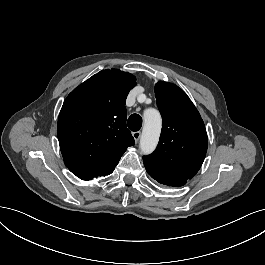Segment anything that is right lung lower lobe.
<instances>
[{"instance_id":"obj_1","label":"right lung lower lobe","mask_w":265,"mask_h":265,"mask_svg":"<svg viewBox=\"0 0 265 265\" xmlns=\"http://www.w3.org/2000/svg\"><path fill=\"white\" fill-rule=\"evenodd\" d=\"M70 171L82 180H90L93 178H97L99 176L108 175V174L100 175L99 173H95L93 171H85V170H70Z\"/></svg>"}]
</instances>
